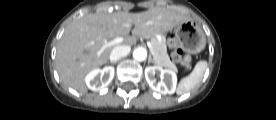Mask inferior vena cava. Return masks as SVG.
Masks as SVG:
<instances>
[{
    "instance_id": "inferior-vena-cava-1",
    "label": "inferior vena cava",
    "mask_w": 276,
    "mask_h": 120,
    "mask_svg": "<svg viewBox=\"0 0 276 120\" xmlns=\"http://www.w3.org/2000/svg\"><path fill=\"white\" fill-rule=\"evenodd\" d=\"M131 48L128 45H119L113 48L110 54V61L116 62L122 57H125L129 54Z\"/></svg>"
}]
</instances>
